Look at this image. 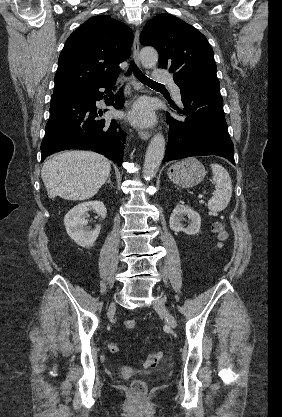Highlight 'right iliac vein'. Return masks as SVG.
Returning <instances> with one entry per match:
<instances>
[{"label": "right iliac vein", "mask_w": 282, "mask_h": 417, "mask_svg": "<svg viewBox=\"0 0 282 417\" xmlns=\"http://www.w3.org/2000/svg\"><path fill=\"white\" fill-rule=\"evenodd\" d=\"M115 310H116V304L112 302L109 306L108 315L110 316L111 314H113Z\"/></svg>", "instance_id": "right-iliac-vein-1"}]
</instances>
